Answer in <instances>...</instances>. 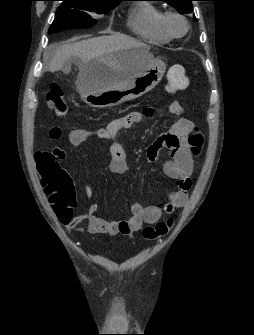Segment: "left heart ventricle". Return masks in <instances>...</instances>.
Listing matches in <instances>:
<instances>
[{
    "label": "left heart ventricle",
    "instance_id": "left-heart-ventricle-1",
    "mask_svg": "<svg viewBox=\"0 0 254 335\" xmlns=\"http://www.w3.org/2000/svg\"><path fill=\"white\" fill-rule=\"evenodd\" d=\"M169 26L175 34H181L185 29L183 22L177 18H171L169 20Z\"/></svg>",
    "mask_w": 254,
    "mask_h": 335
}]
</instances>
